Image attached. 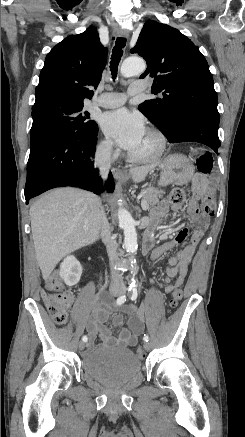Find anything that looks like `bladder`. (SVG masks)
I'll list each match as a JSON object with an SVG mask.
<instances>
[{"label":"bladder","mask_w":245,"mask_h":437,"mask_svg":"<svg viewBox=\"0 0 245 437\" xmlns=\"http://www.w3.org/2000/svg\"><path fill=\"white\" fill-rule=\"evenodd\" d=\"M82 369L103 384L119 386L140 372L141 361L129 349L96 348L83 357Z\"/></svg>","instance_id":"bladder-1"}]
</instances>
